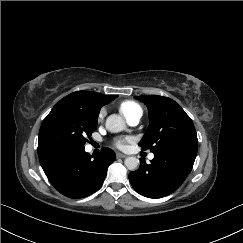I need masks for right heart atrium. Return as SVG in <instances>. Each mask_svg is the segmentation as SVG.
Masks as SVG:
<instances>
[{
	"mask_svg": "<svg viewBox=\"0 0 243 243\" xmlns=\"http://www.w3.org/2000/svg\"><path fill=\"white\" fill-rule=\"evenodd\" d=\"M104 114H105L104 110H101V111L99 112V115H98V120H99V121H102V120H103Z\"/></svg>",
	"mask_w": 243,
	"mask_h": 243,
	"instance_id": "1",
	"label": "right heart atrium"
}]
</instances>
